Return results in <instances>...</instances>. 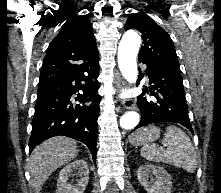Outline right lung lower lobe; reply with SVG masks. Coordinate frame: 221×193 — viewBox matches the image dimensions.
<instances>
[{
	"label": "right lung lower lobe",
	"mask_w": 221,
	"mask_h": 193,
	"mask_svg": "<svg viewBox=\"0 0 221 193\" xmlns=\"http://www.w3.org/2000/svg\"><path fill=\"white\" fill-rule=\"evenodd\" d=\"M99 64L96 63L85 74L55 81L39 87L32 132L29 140L30 152L35 146L48 138L65 135L77 139L89 148L94 162L96 161L97 119L99 101L97 90ZM94 80V81H92ZM85 83L82 84L81 82ZM78 94L80 103L92 101L91 106H73L71 96Z\"/></svg>",
	"instance_id": "98d812e1"
}]
</instances>
